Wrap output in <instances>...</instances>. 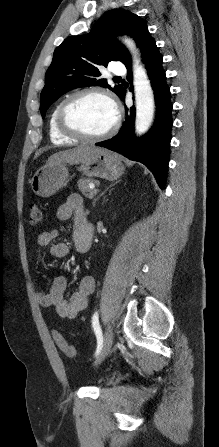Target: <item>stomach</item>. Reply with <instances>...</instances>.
<instances>
[{
	"mask_svg": "<svg viewBox=\"0 0 219 447\" xmlns=\"http://www.w3.org/2000/svg\"><path fill=\"white\" fill-rule=\"evenodd\" d=\"M79 170L88 177L117 180L124 172L119 155L103 150L91 161L81 163ZM69 170L66 163L46 164L36 171L30 180L32 191L41 197H50L66 186Z\"/></svg>",
	"mask_w": 219,
	"mask_h": 447,
	"instance_id": "stomach-1",
	"label": "stomach"
}]
</instances>
